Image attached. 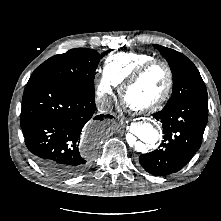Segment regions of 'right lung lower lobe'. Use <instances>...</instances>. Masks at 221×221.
<instances>
[{
  "mask_svg": "<svg viewBox=\"0 0 221 221\" xmlns=\"http://www.w3.org/2000/svg\"><path fill=\"white\" fill-rule=\"evenodd\" d=\"M95 97L45 77L28 81L22 99L20 124L29 151L37 164L59 178L83 173L93 150L80 145L84 126L94 134L110 115L95 113Z\"/></svg>",
  "mask_w": 221,
  "mask_h": 221,
  "instance_id": "obj_1",
  "label": "right lung lower lobe"
}]
</instances>
